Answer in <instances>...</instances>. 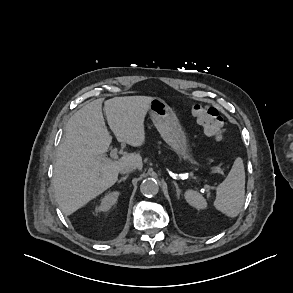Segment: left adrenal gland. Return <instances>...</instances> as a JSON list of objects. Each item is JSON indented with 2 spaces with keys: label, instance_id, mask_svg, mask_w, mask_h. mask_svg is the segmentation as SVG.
Wrapping results in <instances>:
<instances>
[{
  "label": "left adrenal gland",
  "instance_id": "obj_1",
  "mask_svg": "<svg viewBox=\"0 0 293 293\" xmlns=\"http://www.w3.org/2000/svg\"><path fill=\"white\" fill-rule=\"evenodd\" d=\"M173 184H174L175 187H176L177 198L179 199V198H180L181 190L179 189L178 184H177L175 181H173Z\"/></svg>",
  "mask_w": 293,
  "mask_h": 293
}]
</instances>
